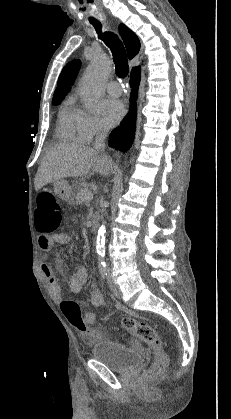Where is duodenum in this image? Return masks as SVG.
Returning a JSON list of instances; mask_svg holds the SVG:
<instances>
[{"label": "duodenum", "mask_w": 231, "mask_h": 419, "mask_svg": "<svg viewBox=\"0 0 231 419\" xmlns=\"http://www.w3.org/2000/svg\"><path fill=\"white\" fill-rule=\"evenodd\" d=\"M100 225V219L98 215H93L91 217V229L93 232H97Z\"/></svg>", "instance_id": "1"}]
</instances>
